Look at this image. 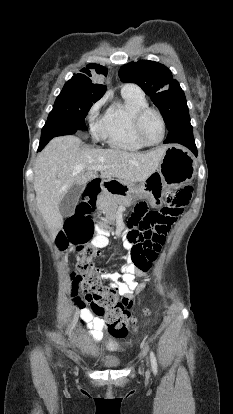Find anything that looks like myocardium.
Here are the masks:
<instances>
[{"label": "myocardium", "mask_w": 233, "mask_h": 414, "mask_svg": "<svg viewBox=\"0 0 233 414\" xmlns=\"http://www.w3.org/2000/svg\"><path fill=\"white\" fill-rule=\"evenodd\" d=\"M150 113L156 114L159 117V119L161 121V124H162V136L156 142L149 141L146 138V136L144 135L143 128H142L144 118ZM134 129H135V132H136L137 136L139 137V139L142 142H144L145 144H147L149 146H153V145H157V144L161 143L164 140L165 135H166V131H167V126H166V121H165V118H164L163 114L158 109H155V108H152V107H146V108H143L140 111H138L137 114L135 115V117H134Z\"/></svg>", "instance_id": "obj_1"}]
</instances>
